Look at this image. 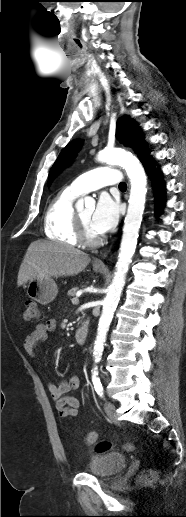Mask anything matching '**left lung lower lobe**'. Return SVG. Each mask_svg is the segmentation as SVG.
Masks as SVG:
<instances>
[{
	"label": "left lung lower lobe",
	"instance_id": "left-lung-lower-lobe-1",
	"mask_svg": "<svg viewBox=\"0 0 186 517\" xmlns=\"http://www.w3.org/2000/svg\"><path fill=\"white\" fill-rule=\"evenodd\" d=\"M140 161L149 172V176L153 179V187L155 189L156 198L160 202L157 204V208H160L164 204L162 193L165 190V184L163 183L160 175L161 172L159 169H155V167L151 163V157L148 152H144L140 157Z\"/></svg>",
	"mask_w": 186,
	"mask_h": 517
}]
</instances>
